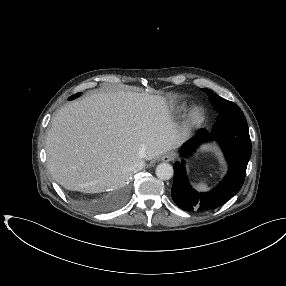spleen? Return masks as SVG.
Segmentation results:
<instances>
[{
    "mask_svg": "<svg viewBox=\"0 0 286 286\" xmlns=\"http://www.w3.org/2000/svg\"><path fill=\"white\" fill-rule=\"evenodd\" d=\"M197 188L200 190H206L207 186L205 184H199V185H197Z\"/></svg>",
    "mask_w": 286,
    "mask_h": 286,
    "instance_id": "obj_1",
    "label": "spleen"
}]
</instances>
